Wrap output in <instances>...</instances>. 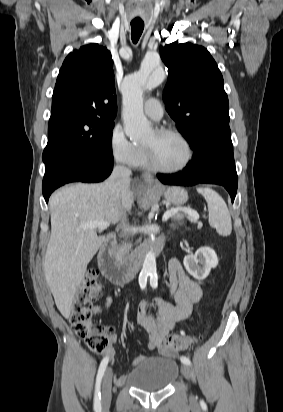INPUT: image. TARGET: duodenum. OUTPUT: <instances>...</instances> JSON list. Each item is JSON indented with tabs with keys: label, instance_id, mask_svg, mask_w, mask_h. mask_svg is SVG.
Listing matches in <instances>:
<instances>
[{
	"label": "duodenum",
	"instance_id": "duodenum-1",
	"mask_svg": "<svg viewBox=\"0 0 283 412\" xmlns=\"http://www.w3.org/2000/svg\"><path fill=\"white\" fill-rule=\"evenodd\" d=\"M115 241L116 236L113 233L106 237L98 254V264L102 274L116 285H125L132 281L147 256L158 253L164 246L162 239L151 241L141 247L133 257L120 262L115 253Z\"/></svg>",
	"mask_w": 283,
	"mask_h": 412
}]
</instances>
